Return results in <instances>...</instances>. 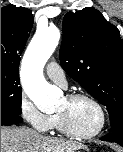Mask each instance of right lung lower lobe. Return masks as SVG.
<instances>
[{"mask_svg":"<svg viewBox=\"0 0 123 152\" xmlns=\"http://www.w3.org/2000/svg\"><path fill=\"white\" fill-rule=\"evenodd\" d=\"M20 122H22V118L19 115L1 112V125H12Z\"/></svg>","mask_w":123,"mask_h":152,"instance_id":"98d812e1","label":"right lung lower lobe"}]
</instances>
